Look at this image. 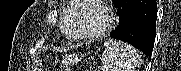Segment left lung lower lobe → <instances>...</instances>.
Listing matches in <instances>:
<instances>
[{"mask_svg": "<svg viewBox=\"0 0 181 71\" xmlns=\"http://www.w3.org/2000/svg\"><path fill=\"white\" fill-rule=\"evenodd\" d=\"M119 25L110 37L120 39L151 57L156 35V0H118Z\"/></svg>", "mask_w": 181, "mask_h": 71, "instance_id": "obj_1", "label": "left lung lower lobe"}]
</instances>
